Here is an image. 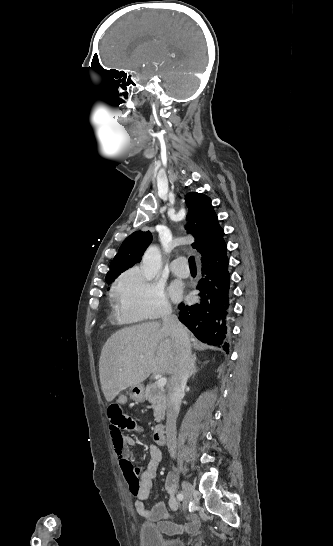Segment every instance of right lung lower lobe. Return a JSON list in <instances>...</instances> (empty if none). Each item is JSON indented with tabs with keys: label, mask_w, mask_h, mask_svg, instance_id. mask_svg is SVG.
Wrapping results in <instances>:
<instances>
[{
	"label": "right lung lower lobe",
	"mask_w": 333,
	"mask_h": 546,
	"mask_svg": "<svg viewBox=\"0 0 333 546\" xmlns=\"http://www.w3.org/2000/svg\"><path fill=\"white\" fill-rule=\"evenodd\" d=\"M202 262V278L197 289L200 302L191 306L179 304V320L202 342L222 346L228 351L226 323L230 307L229 259L226 244Z\"/></svg>",
	"instance_id": "obj_1"
}]
</instances>
